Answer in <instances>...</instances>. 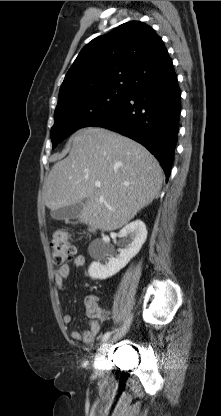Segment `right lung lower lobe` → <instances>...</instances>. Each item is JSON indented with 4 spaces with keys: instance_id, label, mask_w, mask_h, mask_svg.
<instances>
[{
    "instance_id": "98d812e1",
    "label": "right lung lower lobe",
    "mask_w": 221,
    "mask_h": 416,
    "mask_svg": "<svg viewBox=\"0 0 221 416\" xmlns=\"http://www.w3.org/2000/svg\"><path fill=\"white\" fill-rule=\"evenodd\" d=\"M180 112L181 91L173 68L166 78L132 89L109 119L93 126L110 129L141 143L158 159L168 180Z\"/></svg>"
}]
</instances>
